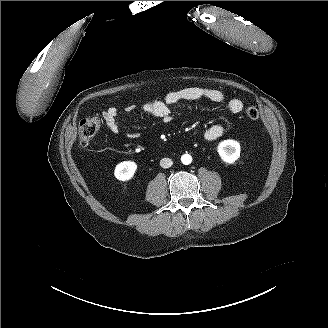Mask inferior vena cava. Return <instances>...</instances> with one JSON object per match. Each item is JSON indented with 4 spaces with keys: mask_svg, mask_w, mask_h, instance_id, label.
<instances>
[{
    "mask_svg": "<svg viewBox=\"0 0 328 328\" xmlns=\"http://www.w3.org/2000/svg\"><path fill=\"white\" fill-rule=\"evenodd\" d=\"M173 162L169 158H163L160 160V166L162 168H170L172 166Z\"/></svg>",
    "mask_w": 328,
    "mask_h": 328,
    "instance_id": "602c4592",
    "label": "inferior vena cava"
}]
</instances>
